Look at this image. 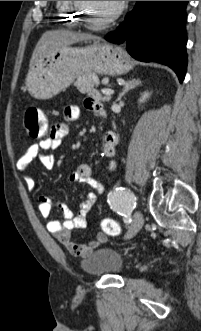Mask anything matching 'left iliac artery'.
Listing matches in <instances>:
<instances>
[{
  "instance_id": "left-iliac-artery-1",
  "label": "left iliac artery",
  "mask_w": 201,
  "mask_h": 331,
  "mask_svg": "<svg viewBox=\"0 0 201 331\" xmlns=\"http://www.w3.org/2000/svg\"><path fill=\"white\" fill-rule=\"evenodd\" d=\"M108 203L114 212L128 220L131 212L136 207V198L129 190L123 187H116L109 194Z\"/></svg>"
}]
</instances>
